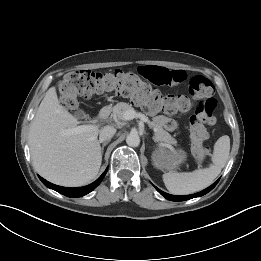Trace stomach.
<instances>
[{
	"label": "stomach",
	"mask_w": 261,
	"mask_h": 261,
	"mask_svg": "<svg viewBox=\"0 0 261 261\" xmlns=\"http://www.w3.org/2000/svg\"><path fill=\"white\" fill-rule=\"evenodd\" d=\"M186 158L187 155L184 150H170L166 147H159L152 154L153 165L160 170H175Z\"/></svg>",
	"instance_id": "0dacf381"
}]
</instances>
